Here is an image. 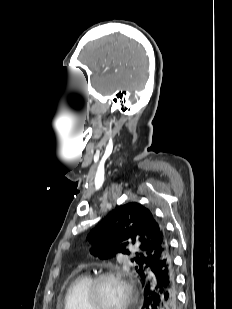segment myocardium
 <instances>
[{"label":"myocardium","mask_w":232,"mask_h":309,"mask_svg":"<svg viewBox=\"0 0 232 309\" xmlns=\"http://www.w3.org/2000/svg\"><path fill=\"white\" fill-rule=\"evenodd\" d=\"M106 280H117L124 286L126 301L122 309H131L135 300V291L127 275L118 269L103 271L91 279L86 294L89 309H101L99 306V288Z\"/></svg>","instance_id":"myocardium-1"}]
</instances>
